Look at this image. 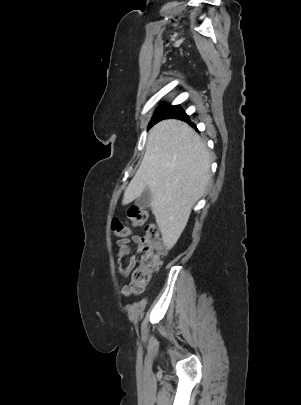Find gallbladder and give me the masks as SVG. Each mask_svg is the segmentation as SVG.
Segmentation results:
<instances>
[{
    "instance_id": "bac80fb5",
    "label": "gallbladder",
    "mask_w": 301,
    "mask_h": 405,
    "mask_svg": "<svg viewBox=\"0 0 301 405\" xmlns=\"http://www.w3.org/2000/svg\"><path fill=\"white\" fill-rule=\"evenodd\" d=\"M152 201V193L149 189H145L143 193L136 199L135 206L139 209H146Z\"/></svg>"
}]
</instances>
